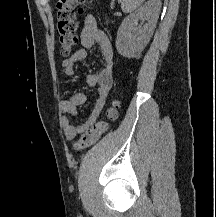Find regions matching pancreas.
<instances>
[{"label": "pancreas", "instance_id": "pancreas-1", "mask_svg": "<svg viewBox=\"0 0 216 217\" xmlns=\"http://www.w3.org/2000/svg\"><path fill=\"white\" fill-rule=\"evenodd\" d=\"M115 15H116V16H121V13L116 12Z\"/></svg>", "mask_w": 216, "mask_h": 217}]
</instances>
